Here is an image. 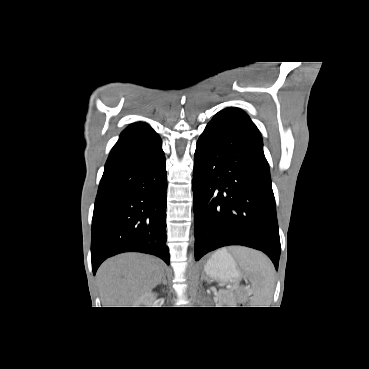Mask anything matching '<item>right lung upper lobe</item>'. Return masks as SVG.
I'll return each instance as SVG.
<instances>
[{
  "label": "right lung upper lobe",
  "mask_w": 369,
  "mask_h": 369,
  "mask_svg": "<svg viewBox=\"0 0 369 369\" xmlns=\"http://www.w3.org/2000/svg\"><path fill=\"white\" fill-rule=\"evenodd\" d=\"M149 129H152V128L146 123H143V122L133 123L121 133L120 138L138 134L140 132H143Z\"/></svg>",
  "instance_id": "obj_1"
}]
</instances>
